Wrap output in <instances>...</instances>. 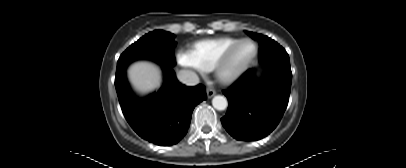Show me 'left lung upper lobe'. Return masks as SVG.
I'll list each match as a JSON object with an SVG mask.
<instances>
[{
    "label": "left lung upper lobe",
    "mask_w": 406,
    "mask_h": 168,
    "mask_svg": "<svg viewBox=\"0 0 406 168\" xmlns=\"http://www.w3.org/2000/svg\"><path fill=\"white\" fill-rule=\"evenodd\" d=\"M252 38L260 43L259 57L261 62L289 63V56L285 49L267 36L247 32Z\"/></svg>",
    "instance_id": "obj_1"
}]
</instances>
